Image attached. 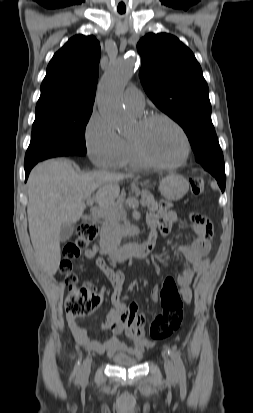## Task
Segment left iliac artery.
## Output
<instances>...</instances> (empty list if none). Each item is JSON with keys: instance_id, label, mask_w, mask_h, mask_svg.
I'll return each mask as SVG.
<instances>
[{"instance_id": "obj_1", "label": "left iliac artery", "mask_w": 253, "mask_h": 413, "mask_svg": "<svg viewBox=\"0 0 253 413\" xmlns=\"http://www.w3.org/2000/svg\"><path fill=\"white\" fill-rule=\"evenodd\" d=\"M168 354L173 359L175 366L178 370L179 375L184 378L185 377V367L180 355L175 350L168 351Z\"/></svg>"}]
</instances>
